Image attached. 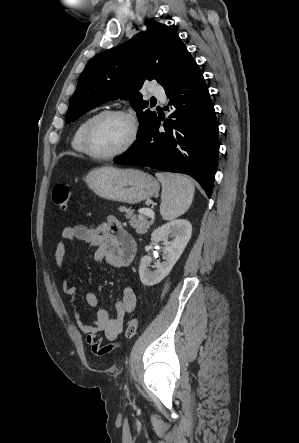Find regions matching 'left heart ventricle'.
<instances>
[{
  "mask_svg": "<svg viewBox=\"0 0 299 443\" xmlns=\"http://www.w3.org/2000/svg\"><path fill=\"white\" fill-rule=\"evenodd\" d=\"M130 123L123 117L106 116L98 120L90 133V145L98 154H108L120 149L128 140Z\"/></svg>",
  "mask_w": 299,
  "mask_h": 443,
  "instance_id": "obj_1",
  "label": "left heart ventricle"
}]
</instances>
